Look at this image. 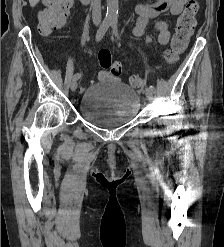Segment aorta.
<instances>
[{
	"mask_svg": "<svg viewBox=\"0 0 224 247\" xmlns=\"http://www.w3.org/2000/svg\"><path fill=\"white\" fill-rule=\"evenodd\" d=\"M118 0H107V20H117L118 18Z\"/></svg>",
	"mask_w": 224,
	"mask_h": 247,
	"instance_id": "obj_1",
	"label": "aorta"
}]
</instances>
